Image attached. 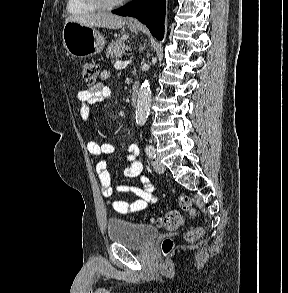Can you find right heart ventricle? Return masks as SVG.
Returning a JSON list of instances; mask_svg holds the SVG:
<instances>
[{
    "label": "right heart ventricle",
    "mask_w": 288,
    "mask_h": 293,
    "mask_svg": "<svg viewBox=\"0 0 288 293\" xmlns=\"http://www.w3.org/2000/svg\"><path fill=\"white\" fill-rule=\"evenodd\" d=\"M102 7L92 3L89 0H68L67 11L70 14H86L100 10Z\"/></svg>",
    "instance_id": "1"
}]
</instances>
